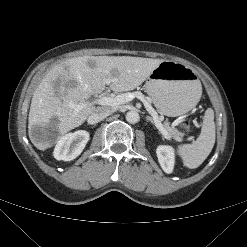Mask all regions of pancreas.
I'll return each mask as SVG.
<instances>
[{"mask_svg":"<svg viewBox=\"0 0 247 247\" xmlns=\"http://www.w3.org/2000/svg\"><path fill=\"white\" fill-rule=\"evenodd\" d=\"M164 128L168 131L170 137L174 138L175 140L181 139L183 137V133L179 132L176 128L169 126L168 122L164 123Z\"/></svg>","mask_w":247,"mask_h":247,"instance_id":"pancreas-1","label":"pancreas"}]
</instances>
